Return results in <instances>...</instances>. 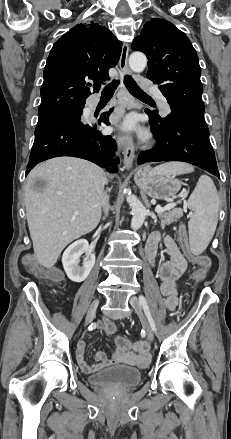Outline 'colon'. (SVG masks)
Listing matches in <instances>:
<instances>
[{"label":"colon","mask_w":231,"mask_h":439,"mask_svg":"<svg viewBox=\"0 0 231 439\" xmlns=\"http://www.w3.org/2000/svg\"><path fill=\"white\" fill-rule=\"evenodd\" d=\"M179 238H180L181 245H182L183 249L186 251L189 259L198 268V270H197L198 277L195 279V282L198 285H201L207 279V276L205 275V273L210 268V265H211L210 258L206 255H193L192 253H190L189 247H188L187 235H186V231H185L184 226H180V228H179ZM25 266L30 272H32L36 275L47 277L50 280L57 281V280H60L62 277V274L59 270H57V269L44 270L31 257L27 258L25 260Z\"/></svg>","instance_id":"colon-1"}]
</instances>
